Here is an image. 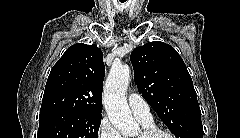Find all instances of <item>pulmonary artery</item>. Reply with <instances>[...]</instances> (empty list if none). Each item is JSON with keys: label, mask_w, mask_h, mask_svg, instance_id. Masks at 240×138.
<instances>
[{"label": "pulmonary artery", "mask_w": 240, "mask_h": 138, "mask_svg": "<svg viewBox=\"0 0 240 138\" xmlns=\"http://www.w3.org/2000/svg\"><path fill=\"white\" fill-rule=\"evenodd\" d=\"M128 104L132 113L139 119H152L148 103L138 94L132 93L128 96Z\"/></svg>", "instance_id": "e3ab8cb5"}]
</instances>
